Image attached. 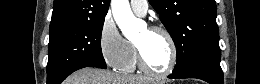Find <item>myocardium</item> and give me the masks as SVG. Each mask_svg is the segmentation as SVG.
Segmentation results:
<instances>
[{
    "mask_svg": "<svg viewBox=\"0 0 260 84\" xmlns=\"http://www.w3.org/2000/svg\"><path fill=\"white\" fill-rule=\"evenodd\" d=\"M148 31L151 33L158 32V33L163 34L166 37V39L169 43V46H170L169 64H168V67L164 71H155V70L151 69L144 60L141 48L135 43L134 47H135L138 67L141 71H143L145 74H147L149 76L156 77V78L167 77L174 72L176 65H177L178 49H177L176 41H175L172 33L167 28H165L161 25H152V26L148 27Z\"/></svg>",
    "mask_w": 260,
    "mask_h": 84,
    "instance_id": "obj_1",
    "label": "myocardium"
}]
</instances>
